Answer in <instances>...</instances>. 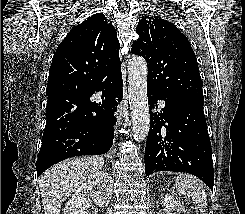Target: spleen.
<instances>
[{
    "instance_id": "3e777b00",
    "label": "spleen",
    "mask_w": 245,
    "mask_h": 214,
    "mask_svg": "<svg viewBox=\"0 0 245 214\" xmlns=\"http://www.w3.org/2000/svg\"><path fill=\"white\" fill-rule=\"evenodd\" d=\"M174 186L179 193L193 198L201 213L206 212L207 197L202 183L196 177L180 173L175 178Z\"/></svg>"
}]
</instances>
